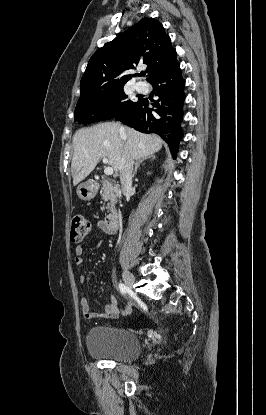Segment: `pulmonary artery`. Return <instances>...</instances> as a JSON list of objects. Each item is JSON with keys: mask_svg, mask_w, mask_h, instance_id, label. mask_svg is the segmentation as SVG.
<instances>
[{"mask_svg": "<svg viewBox=\"0 0 266 415\" xmlns=\"http://www.w3.org/2000/svg\"><path fill=\"white\" fill-rule=\"evenodd\" d=\"M135 87L139 92H145L147 90V85L143 82H137Z\"/></svg>", "mask_w": 266, "mask_h": 415, "instance_id": "1", "label": "pulmonary artery"}]
</instances>
